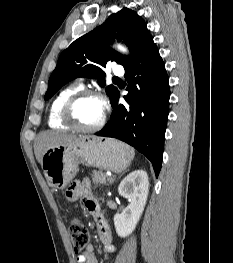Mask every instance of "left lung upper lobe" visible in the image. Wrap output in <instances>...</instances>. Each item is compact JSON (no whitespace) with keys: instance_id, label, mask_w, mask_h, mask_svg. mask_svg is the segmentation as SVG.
<instances>
[{"instance_id":"obj_1","label":"left lung upper lobe","mask_w":233,"mask_h":263,"mask_svg":"<svg viewBox=\"0 0 233 263\" xmlns=\"http://www.w3.org/2000/svg\"><path fill=\"white\" fill-rule=\"evenodd\" d=\"M115 38L123 40L129 47L131 52L129 57L109 47ZM152 40L146 23L135 11L123 8L118 13L110 15L101 26L75 40L61 53L57 66L50 76L44 99L48 100L63 85L77 77L96 78L98 83L104 86L103 68L108 61H115L126 67ZM106 93L112 102L118 89L109 85Z\"/></svg>"}]
</instances>
